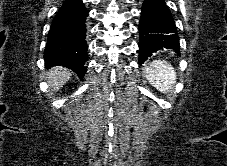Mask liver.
<instances>
[{
	"mask_svg": "<svg viewBox=\"0 0 227 166\" xmlns=\"http://www.w3.org/2000/svg\"><path fill=\"white\" fill-rule=\"evenodd\" d=\"M71 77V72L61 66L54 67L47 75L48 83L52 91L59 90Z\"/></svg>",
	"mask_w": 227,
	"mask_h": 166,
	"instance_id": "1",
	"label": "liver"
}]
</instances>
